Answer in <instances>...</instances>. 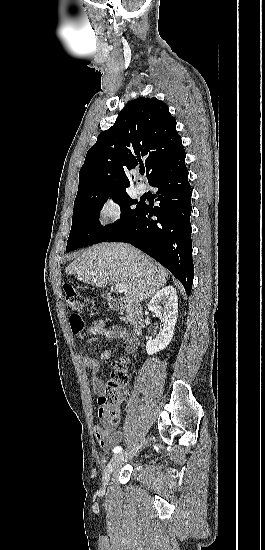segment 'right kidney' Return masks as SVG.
Here are the masks:
<instances>
[{"label":"right kidney","instance_id":"ca27d5eb","mask_svg":"<svg viewBox=\"0 0 265 550\" xmlns=\"http://www.w3.org/2000/svg\"><path fill=\"white\" fill-rule=\"evenodd\" d=\"M161 304L164 307H162ZM148 310L160 317L164 324L163 330L156 338L154 340H148L146 343L147 354L153 355L165 349L173 338L178 316V297L176 289L169 285L157 291L148 304Z\"/></svg>","mask_w":265,"mask_h":550}]
</instances>
